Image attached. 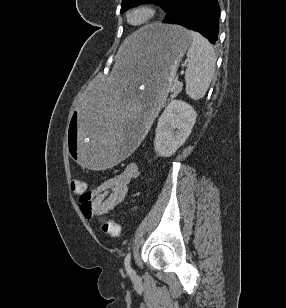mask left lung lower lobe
I'll return each mask as SVG.
<instances>
[{
	"label": "left lung lower lobe",
	"mask_w": 286,
	"mask_h": 308,
	"mask_svg": "<svg viewBox=\"0 0 286 308\" xmlns=\"http://www.w3.org/2000/svg\"><path fill=\"white\" fill-rule=\"evenodd\" d=\"M217 0H172L163 23L178 24L197 31L215 44L219 32Z\"/></svg>",
	"instance_id": "0a47b994"
}]
</instances>
